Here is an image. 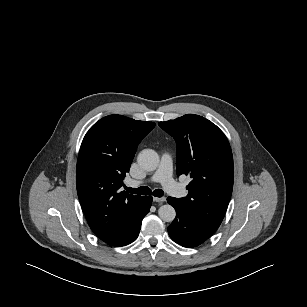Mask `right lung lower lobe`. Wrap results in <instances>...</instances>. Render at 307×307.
Wrapping results in <instances>:
<instances>
[{"label":"right lung lower lobe","mask_w":307,"mask_h":307,"mask_svg":"<svg viewBox=\"0 0 307 307\" xmlns=\"http://www.w3.org/2000/svg\"><path fill=\"white\" fill-rule=\"evenodd\" d=\"M145 210H144V213L133 233V235L130 237V239L124 244V245H127L131 242H133L139 235V231H140V227H141V223H142V219L144 218V216L149 212L150 210V207H151V203H152V197L151 196H145Z\"/></svg>","instance_id":"obj_1"}]
</instances>
